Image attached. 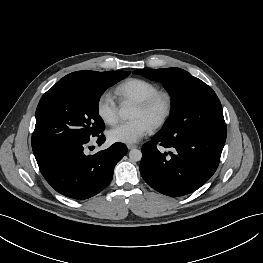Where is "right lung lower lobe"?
I'll return each instance as SVG.
<instances>
[{"label":"right lung lower lobe","instance_id":"98d812e1","mask_svg":"<svg viewBox=\"0 0 263 263\" xmlns=\"http://www.w3.org/2000/svg\"><path fill=\"white\" fill-rule=\"evenodd\" d=\"M90 139L56 144L35 154L40 171L60 194L73 199H87L102 191L111 181L115 165L127 153V147L115 143L94 155L84 148ZM105 137L98 136V143Z\"/></svg>","mask_w":263,"mask_h":263}]
</instances>
